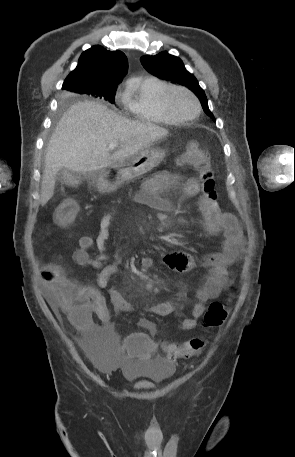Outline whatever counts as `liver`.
Wrapping results in <instances>:
<instances>
[{"label":"liver","instance_id":"1","mask_svg":"<svg viewBox=\"0 0 295 457\" xmlns=\"http://www.w3.org/2000/svg\"><path fill=\"white\" fill-rule=\"evenodd\" d=\"M167 135L168 131L158 125L125 119L100 103H75L64 113L49 141L41 205L52 198L60 169L77 173L98 171L149 148ZM112 142L120 147L111 155Z\"/></svg>","mask_w":295,"mask_h":457}]
</instances>
